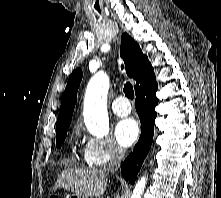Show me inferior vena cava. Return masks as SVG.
<instances>
[{
	"label": "inferior vena cava",
	"instance_id": "602c4592",
	"mask_svg": "<svg viewBox=\"0 0 221 198\" xmlns=\"http://www.w3.org/2000/svg\"><path fill=\"white\" fill-rule=\"evenodd\" d=\"M124 156L125 151L121 147H114L111 153V160L105 170L108 172H116L120 167V163L123 160Z\"/></svg>",
	"mask_w": 221,
	"mask_h": 198
}]
</instances>
